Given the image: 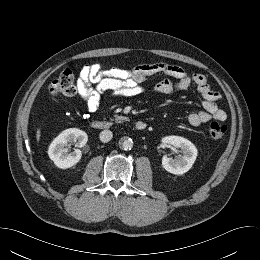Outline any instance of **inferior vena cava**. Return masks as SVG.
Instances as JSON below:
<instances>
[{
  "label": "inferior vena cava",
  "mask_w": 260,
  "mask_h": 260,
  "mask_svg": "<svg viewBox=\"0 0 260 260\" xmlns=\"http://www.w3.org/2000/svg\"><path fill=\"white\" fill-rule=\"evenodd\" d=\"M113 137V134L110 130H103L101 133H100V140L103 142V143H107L109 142Z\"/></svg>",
  "instance_id": "inferior-vena-cava-1"
}]
</instances>
